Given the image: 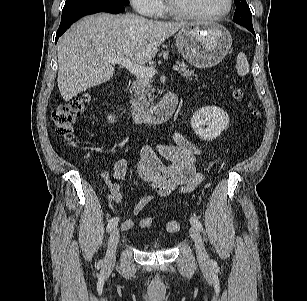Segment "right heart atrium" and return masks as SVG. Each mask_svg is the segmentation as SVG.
Returning a JSON list of instances; mask_svg holds the SVG:
<instances>
[{
    "instance_id": "d8ad5b80",
    "label": "right heart atrium",
    "mask_w": 307,
    "mask_h": 301,
    "mask_svg": "<svg viewBox=\"0 0 307 301\" xmlns=\"http://www.w3.org/2000/svg\"><path fill=\"white\" fill-rule=\"evenodd\" d=\"M130 3L138 13L151 18L160 17L164 10L161 0H130Z\"/></svg>"
}]
</instances>
